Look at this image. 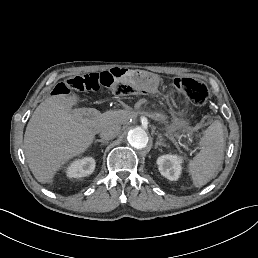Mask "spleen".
I'll use <instances>...</instances> for the list:
<instances>
[{
	"label": "spleen",
	"mask_w": 258,
	"mask_h": 258,
	"mask_svg": "<svg viewBox=\"0 0 258 258\" xmlns=\"http://www.w3.org/2000/svg\"><path fill=\"white\" fill-rule=\"evenodd\" d=\"M224 131L221 123H212L200 140V152L189 162L193 184L201 187L216 177L224 158Z\"/></svg>",
	"instance_id": "1"
}]
</instances>
